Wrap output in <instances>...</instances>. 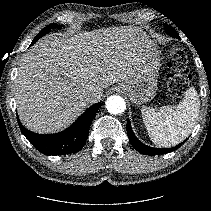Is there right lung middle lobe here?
Returning a JSON list of instances; mask_svg holds the SVG:
<instances>
[{"instance_id": "dd1d6c3e", "label": "right lung middle lobe", "mask_w": 211, "mask_h": 211, "mask_svg": "<svg viewBox=\"0 0 211 211\" xmlns=\"http://www.w3.org/2000/svg\"><path fill=\"white\" fill-rule=\"evenodd\" d=\"M53 28H61V26H59L57 24H50V25L46 26L43 30H41V32H39V34H37V36L32 41L31 45L34 44L39 38H41L42 36L47 34Z\"/></svg>"}]
</instances>
